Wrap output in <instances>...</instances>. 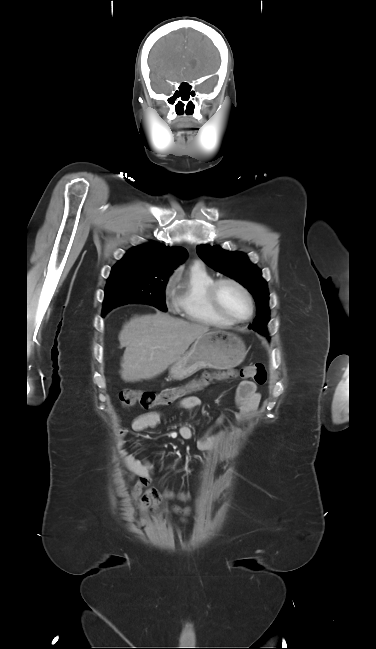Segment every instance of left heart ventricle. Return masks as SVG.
I'll return each mask as SVG.
<instances>
[{
  "label": "left heart ventricle",
  "instance_id": "1",
  "mask_svg": "<svg viewBox=\"0 0 376 649\" xmlns=\"http://www.w3.org/2000/svg\"><path fill=\"white\" fill-rule=\"evenodd\" d=\"M220 299L226 311L235 318H245L249 313V304L243 293L231 284L220 287Z\"/></svg>",
  "mask_w": 376,
  "mask_h": 649
}]
</instances>
